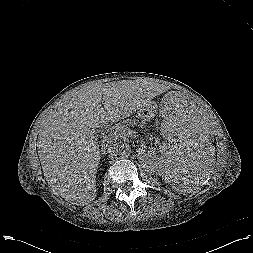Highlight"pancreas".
Segmentation results:
<instances>
[{
	"label": "pancreas",
	"mask_w": 253,
	"mask_h": 253,
	"mask_svg": "<svg viewBox=\"0 0 253 253\" xmlns=\"http://www.w3.org/2000/svg\"><path fill=\"white\" fill-rule=\"evenodd\" d=\"M106 130L108 132V137L114 140H117L121 137H125L130 133V129L128 127H125V125L123 124H118Z\"/></svg>",
	"instance_id": "1"
}]
</instances>
